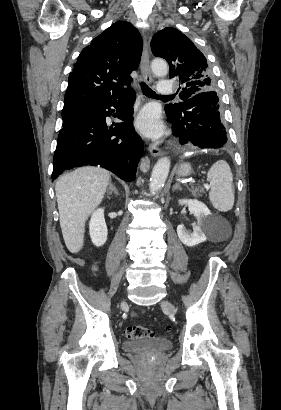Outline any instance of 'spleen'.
I'll return each mask as SVG.
<instances>
[{
  "mask_svg": "<svg viewBox=\"0 0 281 410\" xmlns=\"http://www.w3.org/2000/svg\"><path fill=\"white\" fill-rule=\"evenodd\" d=\"M210 183L209 199L213 207L227 212L234 205L233 175L228 163L224 160L215 162L207 173Z\"/></svg>",
  "mask_w": 281,
  "mask_h": 410,
  "instance_id": "obj_1",
  "label": "spleen"
}]
</instances>
